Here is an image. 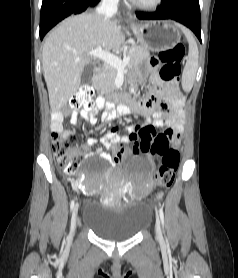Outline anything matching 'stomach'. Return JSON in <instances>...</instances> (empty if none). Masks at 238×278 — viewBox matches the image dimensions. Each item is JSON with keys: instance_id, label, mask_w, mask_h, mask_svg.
I'll return each mask as SVG.
<instances>
[{"instance_id": "0dacf381", "label": "stomach", "mask_w": 238, "mask_h": 278, "mask_svg": "<svg viewBox=\"0 0 238 278\" xmlns=\"http://www.w3.org/2000/svg\"><path fill=\"white\" fill-rule=\"evenodd\" d=\"M131 30L143 47L153 51L173 48L181 38L178 28L168 21L132 24Z\"/></svg>"}]
</instances>
